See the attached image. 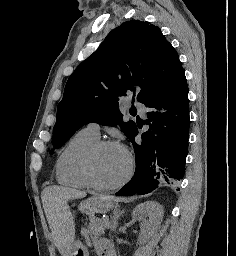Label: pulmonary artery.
I'll return each instance as SVG.
<instances>
[{"label":"pulmonary artery","instance_id":"1","mask_svg":"<svg viewBox=\"0 0 236 256\" xmlns=\"http://www.w3.org/2000/svg\"><path fill=\"white\" fill-rule=\"evenodd\" d=\"M137 110L139 112V114L143 117H145L147 115V107L144 104H138L137 105ZM84 130L91 136L99 139L100 138V128L97 124L95 123H90L88 124Z\"/></svg>","mask_w":236,"mask_h":256}]
</instances>
